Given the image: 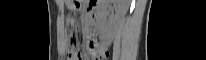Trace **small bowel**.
Instances as JSON below:
<instances>
[{"mask_svg": "<svg viewBox=\"0 0 206 60\" xmlns=\"http://www.w3.org/2000/svg\"><path fill=\"white\" fill-rule=\"evenodd\" d=\"M89 54L93 57V59H96V56L98 55L99 50H101L95 43L94 41L90 40L89 45ZM82 58H75L73 60H81Z\"/></svg>", "mask_w": 206, "mask_h": 60, "instance_id": "obj_1", "label": "small bowel"}]
</instances>
